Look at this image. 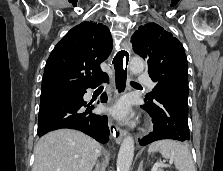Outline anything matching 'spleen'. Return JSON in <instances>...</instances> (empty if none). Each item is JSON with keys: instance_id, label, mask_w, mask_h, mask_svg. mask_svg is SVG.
I'll return each instance as SVG.
<instances>
[{"instance_id": "obj_1", "label": "spleen", "mask_w": 223, "mask_h": 171, "mask_svg": "<svg viewBox=\"0 0 223 171\" xmlns=\"http://www.w3.org/2000/svg\"><path fill=\"white\" fill-rule=\"evenodd\" d=\"M148 152H160L164 158L174 162L178 171H197L189 149L174 140L153 142L149 146Z\"/></svg>"}]
</instances>
